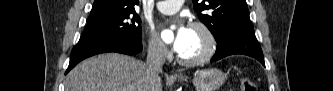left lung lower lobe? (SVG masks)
<instances>
[{
	"label": "left lung lower lobe",
	"mask_w": 333,
	"mask_h": 91,
	"mask_svg": "<svg viewBox=\"0 0 333 91\" xmlns=\"http://www.w3.org/2000/svg\"><path fill=\"white\" fill-rule=\"evenodd\" d=\"M233 54L251 56L265 65L263 53L255 37L252 25L241 26L227 31L221 39L217 40L216 53L211 61Z\"/></svg>",
	"instance_id": "obj_1"
}]
</instances>
